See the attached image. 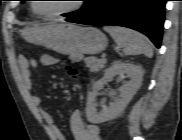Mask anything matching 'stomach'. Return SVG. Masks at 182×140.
Wrapping results in <instances>:
<instances>
[{"label":"stomach","mask_w":182,"mask_h":140,"mask_svg":"<svg viewBox=\"0 0 182 140\" xmlns=\"http://www.w3.org/2000/svg\"><path fill=\"white\" fill-rule=\"evenodd\" d=\"M22 36L28 42L64 55H94L107 47V38L100 30L70 23H47L27 27L22 31Z\"/></svg>","instance_id":"stomach-1"}]
</instances>
